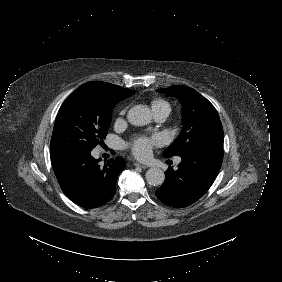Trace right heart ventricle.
Listing matches in <instances>:
<instances>
[{
	"label": "right heart ventricle",
	"mask_w": 282,
	"mask_h": 282,
	"mask_svg": "<svg viewBox=\"0 0 282 282\" xmlns=\"http://www.w3.org/2000/svg\"><path fill=\"white\" fill-rule=\"evenodd\" d=\"M167 108L170 109V105L162 99H157L152 102V110L154 114Z\"/></svg>",
	"instance_id": "1"
}]
</instances>
